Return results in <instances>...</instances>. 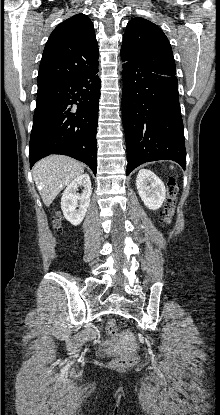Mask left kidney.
<instances>
[{"label": "left kidney", "mask_w": 220, "mask_h": 415, "mask_svg": "<svg viewBox=\"0 0 220 415\" xmlns=\"http://www.w3.org/2000/svg\"><path fill=\"white\" fill-rule=\"evenodd\" d=\"M136 187L147 208L157 210L162 206L166 196L165 185L152 171L139 170Z\"/></svg>", "instance_id": "obj_1"}]
</instances>
